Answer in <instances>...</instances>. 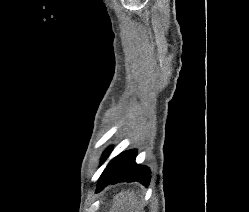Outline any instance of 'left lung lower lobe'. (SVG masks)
Returning <instances> with one entry per match:
<instances>
[{"label":"left lung lower lobe","mask_w":249,"mask_h":212,"mask_svg":"<svg viewBox=\"0 0 249 212\" xmlns=\"http://www.w3.org/2000/svg\"><path fill=\"white\" fill-rule=\"evenodd\" d=\"M112 148H108L103 154V160L109 155ZM137 152L129 150L116 156L101 174L96 192H100L104 187L119 182L138 181L144 186L150 182V171L146 166L135 163Z\"/></svg>","instance_id":"0a47b994"}]
</instances>
